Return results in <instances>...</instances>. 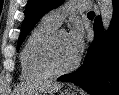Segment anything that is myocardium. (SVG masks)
<instances>
[{"instance_id": "f54148a6", "label": "myocardium", "mask_w": 119, "mask_h": 95, "mask_svg": "<svg viewBox=\"0 0 119 95\" xmlns=\"http://www.w3.org/2000/svg\"><path fill=\"white\" fill-rule=\"evenodd\" d=\"M62 30H55L47 38L43 50H42V61L45 68L50 72L51 75H63L69 73L77 68L80 62V57L77 56L72 64L67 67H58L54 61V45L57 34Z\"/></svg>"}]
</instances>
